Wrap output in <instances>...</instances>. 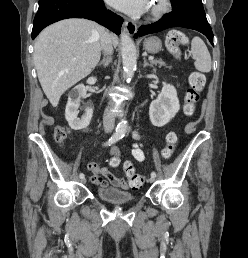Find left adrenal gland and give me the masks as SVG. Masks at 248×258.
I'll use <instances>...</instances> for the list:
<instances>
[{"mask_svg": "<svg viewBox=\"0 0 248 258\" xmlns=\"http://www.w3.org/2000/svg\"><path fill=\"white\" fill-rule=\"evenodd\" d=\"M143 60H144L143 67H146V66H150V67H152V65H151V64H149V63L147 62V60H146V58H145V57L143 58Z\"/></svg>", "mask_w": 248, "mask_h": 258, "instance_id": "a2214340", "label": "left adrenal gland"}]
</instances>
